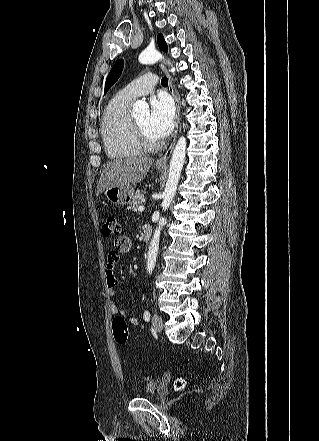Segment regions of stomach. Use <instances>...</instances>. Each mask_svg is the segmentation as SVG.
<instances>
[{
  "label": "stomach",
  "mask_w": 319,
  "mask_h": 441,
  "mask_svg": "<svg viewBox=\"0 0 319 441\" xmlns=\"http://www.w3.org/2000/svg\"><path fill=\"white\" fill-rule=\"evenodd\" d=\"M162 171L163 167H157ZM105 199L114 205L129 204L134 197V188L132 185H122L109 187L104 191Z\"/></svg>",
  "instance_id": "obj_1"
}]
</instances>
